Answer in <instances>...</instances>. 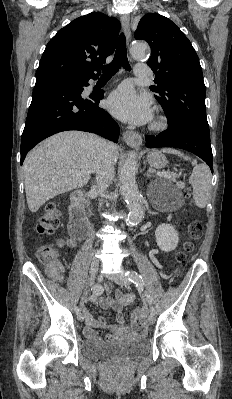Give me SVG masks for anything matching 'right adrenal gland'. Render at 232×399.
<instances>
[{"label": "right adrenal gland", "mask_w": 232, "mask_h": 399, "mask_svg": "<svg viewBox=\"0 0 232 399\" xmlns=\"http://www.w3.org/2000/svg\"><path fill=\"white\" fill-rule=\"evenodd\" d=\"M92 184H96V180H92Z\"/></svg>", "instance_id": "obj_1"}]
</instances>
